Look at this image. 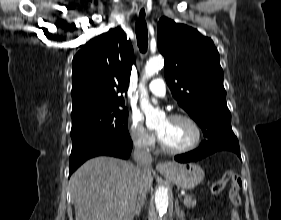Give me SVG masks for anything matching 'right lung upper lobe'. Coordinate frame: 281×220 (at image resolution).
Returning <instances> with one entry per match:
<instances>
[{
    "label": "right lung upper lobe",
    "mask_w": 281,
    "mask_h": 220,
    "mask_svg": "<svg viewBox=\"0 0 281 220\" xmlns=\"http://www.w3.org/2000/svg\"><path fill=\"white\" fill-rule=\"evenodd\" d=\"M133 59L119 27L87 42L73 58L72 118L123 106Z\"/></svg>",
    "instance_id": "obj_1"
}]
</instances>
